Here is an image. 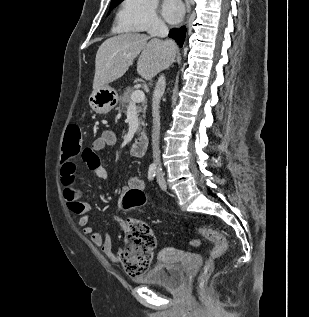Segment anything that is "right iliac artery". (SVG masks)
<instances>
[{"instance_id": "1", "label": "right iliac artery", "mask_w": 309, "mask_h": 317, "mask_svg": "<svg viewBox=\"0 0 309 317\" xmlns=\"http://www.w3.org/2000/svg\"><path fill=\"white\" fill-rule=\"evenodd\" d=\"M156 175V166L155 165H150L149 170H148V179L152 181Z\"/></svg>"}]
</instances>
